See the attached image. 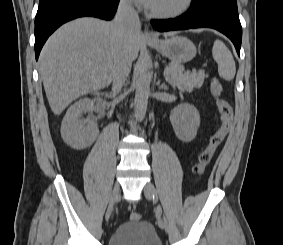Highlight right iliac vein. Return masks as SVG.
<instances>
[{
    "label": "right iliac vein",
    "instance_id": "right-iliac-vein-1",
    "mask_svg": "<svg viewBox=\"0 0 283 245\" xmlns=\"http://www.w3.org/2000/svg\"><path fill=\"white\" fill-rule=\"evenodd\" d=\"M119 195H120V186L118 183H115V185L113 186L111 195H110V201H109L108 208H107L106 215H105L106 220L110 218L113 212V209H114V205L117 202Z\"/></svg>",
    "mask_w": 283,
    "mask_h": 245
}]
</instances>
